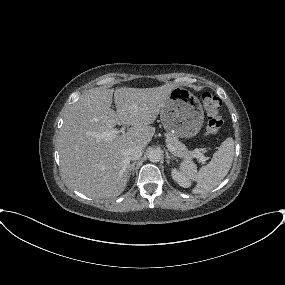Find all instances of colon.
<instances>
[{"mask_svg": "<svg viewBox=\"0 0 285 285\" xmlns=\"http://www.w3.org/2000/svg\"><path fill=\"white\" fill-rule=\"evenodd\" d=\"M202 104L207 115L205 135L208 137L216 135L222 126L221 107L222 103L216 95L204 92Z\"/></svg>", "mask_w": 285, "mask_h": 285, "instance_id": "obj_1", "label": "colon"}]
</instances>
